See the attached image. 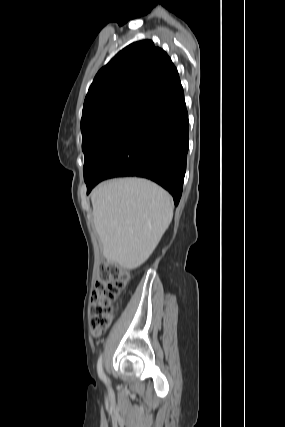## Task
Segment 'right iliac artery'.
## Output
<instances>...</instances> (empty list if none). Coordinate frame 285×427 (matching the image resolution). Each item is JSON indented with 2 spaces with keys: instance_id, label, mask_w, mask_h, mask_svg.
Instances as JSON below:
<instances>
[{
  "instance_id": "obj_1",
  "label": "right iliac artery",
  "mask_w": 285,
  "mask_h": 427,
  "mask_svg": "<svg viewBox=\"0 0 285 427\" xmlns=\"http://www.w3.org/2000/svg\"><path fill=\"white\" fill-rule=\"evenodd\" d=\"M97 371H98V375L100 377L101 380H104L106 382V376L103 372V368H102V356H100L98 363H97Z\"/></svg>"
}]
</instances>
